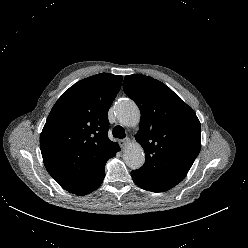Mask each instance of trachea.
Returning <instances> with one entry per match:
<instances>
[{
    "mask_svg": "<svg viewBox=\"0 0 248 248\" xmlns=\"http://www.w3.org/2000/svg\"><path fill=\"white\" fill-rule=\"evenodd\" d=\"M113 136L115 138H119V139L125 138L126 137V134H125L124 128L122 126H116V127H114V129H113Z\"/></svg>",
    "mask_w": 248,
    "mask_h": 248,
    "instance_id": "1",
    "label": "trachea"
}]
</instances>
